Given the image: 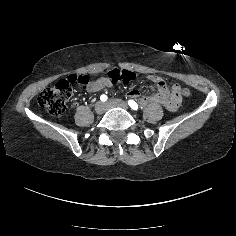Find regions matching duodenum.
<instances>
[{
    "mask_svg": "<svg viewBox=\"0 0 236 236\" xmlns=\"http://www.w3.org/2000/svg\"><path fill=\"white\" fill-rule=\"evenodd\" d=\"M161 91L159 94L147 97V98H141L140 104L141 106H147L151 103H160L163 106H165L168 109H176L178 106V98L176 94H169L165 87H160Z\"/></svg>",
    "mask_w": 236,
    "mask_h": 236,
    "instance_id": "obj_1",
    "label": "duodenum"
}]
</instances>
